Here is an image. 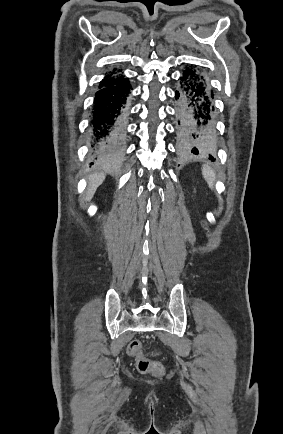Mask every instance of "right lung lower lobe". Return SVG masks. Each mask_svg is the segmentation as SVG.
<instances>
[{
	"mask_svg": "<svg viewBox=\"0 0 283 434\" xmlns=\"http://www.w3.org/2000/svg\"><path fill=\"white\" fill-rule=\"evenodd\" d=\"M130 89L129 80L124 78L96 92L91 119L92 147L96 160L112 161L118 157Z\"/></svg>",
	"mask_w": 283,
	"mask_h": 434,
	"instance_id": "right-lung-lower-lobe-1",
	"label": "right lung lower lobe"
}]
</instances>
